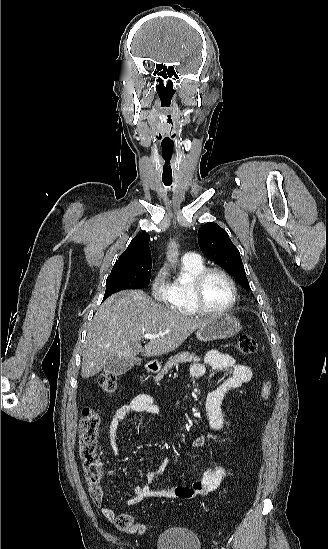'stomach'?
Returning a JSON list of instances; mask_svg holds the SVG:
<instances>
[{
  "instance_id": "1",
  "label": "stomach",
  "mask_w": 328,
  "mask_h": 549,
  "mask_svg": "<svg viewBox=\"0 0 328 549\" xmlns=\"http://www.w3.org/2000/svg\"><path fill=\"white\" fill-rule=\"evenodd\" d=\"M242 327L240 321L229 315V313H220L208 317L206 325L196 331L198 341H216V339H229L233 335L240 333ZM149 367L151 373H157L160 369L158 361H150Z\"/></svg>"
}]
</instances>
